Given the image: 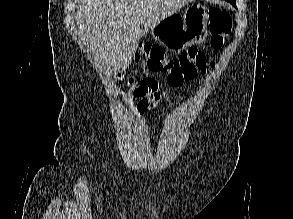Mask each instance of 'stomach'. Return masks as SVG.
Segmentation results:
<instances>
[{
  "label": "stomach",
  "mask_w": 293,
  "mask_h": 219,
  "mask_svg": "<svg viewBox=\"0 0 293 219\" xmlns=\"http://www.w3.org/2000/svg\"><path fill=\"white\" fill-rule=\"evenodd\" d=\"M208 14L201 5H192L184 15L172 14L151 28V36L166 48L179 52L203 42L208 33Z\"/></svg>",
  "instance_id": "1"
}]
</instances>
